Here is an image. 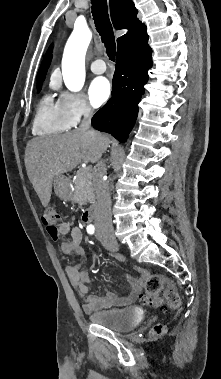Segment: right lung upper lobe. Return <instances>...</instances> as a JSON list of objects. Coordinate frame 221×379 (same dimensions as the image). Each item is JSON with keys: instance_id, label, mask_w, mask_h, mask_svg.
<instances>
[{"instance_id": "cb5924a9", "label": "right lung upper lobe", "mask_w": 221, "mask_h": 379, "mask_svg": "<svg viewBox=\"0 0 221 379\" xmlns=\"http://www.w3.org/2000/svg\"><path fill=\"white\" fill-rule=\"evenodd\" d=\"M110 11L114 27L116 29L127 28L129 30L127 34L117 39L118 46L146 29V26L136 18L138 11L132 0H110ZM51 51L52 48L50 47L39 68L37 74V86H41V83L45 78V74L52 58Z\"/></svg>"}]
</instances>
